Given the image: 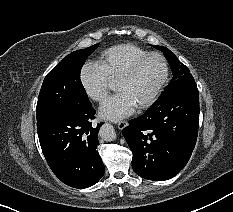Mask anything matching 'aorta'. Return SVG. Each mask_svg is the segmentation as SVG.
Instances as JSON below:
<instances>
[{"label": "aorta", "instance_id": "1", "mask_svg": "<svg viewBox=\"0 0 233 212\" xmlns=\"http://www.w3.org/2000/svg\"><path fill=\"white\" fill-rule=\"evenodd\" d=\"M100 137L105 141H112L116 138V132L111 124H104L99 131Z\"/></svg>", "mask_w": 233, "mask_h": 212}]
</instances>
